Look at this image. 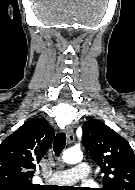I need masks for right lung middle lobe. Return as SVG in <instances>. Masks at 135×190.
<instances>
[{"label":"right lung middle lobe","mask_w":135,"mask_h":190,"mask_svg":"<svg viewBox=\"0 0 135 190\" xmlns=\"http://www.w3.org/2000/svg\"><path fill=\"white\" fill-rule=\"evenodd\" d=\"M37 189L38 188L34 186L21 187V186L5 185V184L0 185V190H37Z\"/></svg>","instance_id":"dd1d6c3e"}]
</instances>
